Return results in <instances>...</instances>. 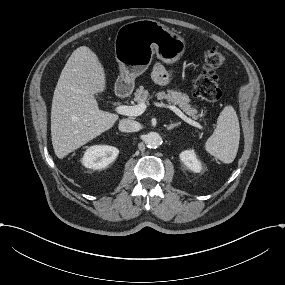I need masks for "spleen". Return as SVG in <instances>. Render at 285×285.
I'll return each mask as SVG.
<instances>
[{"label":"spleen","mask_w":285,"mask_h":285,"mask_svg":"<svg viewBox=\"0 0 285 285\" xmlns=\"http://www.w3.org/2000/svg\"><path fill=\"white\" fill-rule=\"evenodd\" d=\"M240 127L236 111L226 106L220 113L214 133L205 143V149L223 163H232L237 155Z\"/></svg>","instance_id":"1"}]
</instances>
